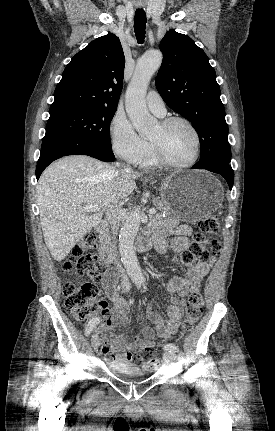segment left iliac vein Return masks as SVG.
Returning <instances> with one entry per match:
<instances>
[{
	"instance_id": "4c4485c4",
	"label": "left iliac vein",
	"mask_w": 275,
	"mask_h": 431,
	"mask_svg": "<svg viewBox=\"0 0 275 431\" xmlns=\"http://www.w3.org/2000/svg\"><path fill=\"white\" fill-rule=\"evenodd\" d=\"M163 360H164V362H166L167 364L172 365V364L175 362V360H176L175 353H174V352L166 351V352L163 354Z\"/></svg>"
}]
</instances>
